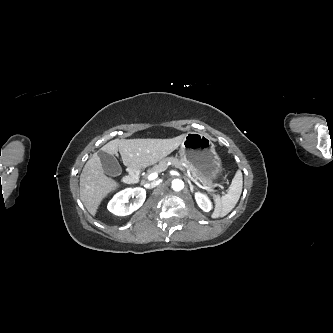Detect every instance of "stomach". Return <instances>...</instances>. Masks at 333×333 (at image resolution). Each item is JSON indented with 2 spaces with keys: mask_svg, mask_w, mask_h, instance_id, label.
Returning <instances> with one entry per match:
<instances>
[{
  "mask_svg": "<svg viewBox=\"0 0 333 333\" xmlns=\"http://www.w3.org/2000/svg\"><path fill=\"white\" fill-rule=\"evenodd\" d=\"M180 157L190 170L213 180L222 174L221 160L211 138L207 134L191 132L180 145Z\"/></svg>",
  "mask_w": 333,
  "mask_h": 333,
  "instance_id": "stomach-1",
  "label": "stomach"
}]
</instances>
